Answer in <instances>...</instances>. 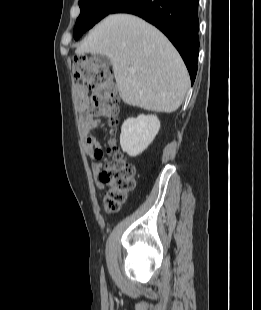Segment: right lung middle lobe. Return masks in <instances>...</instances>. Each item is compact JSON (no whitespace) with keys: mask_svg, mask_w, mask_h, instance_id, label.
Listing matches in <instances>:
<instances>
[{"mask_svg":"<svg viewBox=\"0 0 261 310\" xmlns=\"http://www.w3.org/2000/svg\"><path fill=\"white\" fill-rule=\"evenodd\" d=\"M124 0H79L80 16L74 27V39L92 28L102 18L110 14Z\"/></svg>","mask_w":261,"mask_h":310,"instance_id":"1","label":"right lung middle lobe"}]
</instances>
